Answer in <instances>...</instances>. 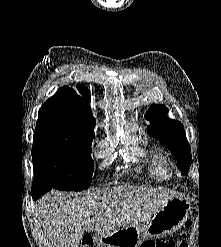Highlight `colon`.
<instances>
[{
    "label": "colon",
    "instance_id": "colon-1",
    "mask_svg": "<svg viewBox=\"0 0 221 247\" xmlns=\"http://www.w3.org/2000/svg\"><path fill=\"white\" fill-rule=\"evenodd\" d=\"M191 221H187L185 224L186 228L191 227ZM82 247H94V243L91 239H86V241L82 244ZM141 247H188L187 241L184 238L178 242L175 243L173 240H149L145 241Z\"/></svg>",
    "mask_w": 221,
    "mask_h": 247
}]
</instances>
